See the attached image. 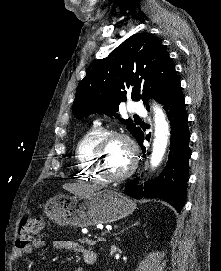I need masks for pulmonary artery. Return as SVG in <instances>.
I'll use <instances>...</instances> for the list:
<instances>
[{
    "instance_id": "obj_1",
    "label": "pulmonary artery",
    "mask_w": 221,
    "mask_h": 271,
    "mask_svg": "<svg viewBox=\"0 0 221 271\" xmlns=\"http://www.w3.org/2000/svg\"><path fill=\"white\" fill-rule=\"evenodd\" d=\"M127 112H143L142 102H128ZM95 127L98 125L96 122L93 124Z\"/></svg>"
}]
</instances>
